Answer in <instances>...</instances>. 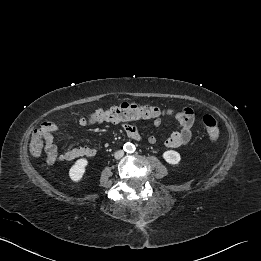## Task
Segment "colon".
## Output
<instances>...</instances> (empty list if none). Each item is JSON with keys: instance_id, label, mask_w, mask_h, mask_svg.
I'll return each mask as SVG.
<instances>
[{"instance_id": "colon-1", "label": "colon", "mask_w": 261, "mask_h": 261, "mask_svg": "<svg viewBox=\"0 0 261 261\" xmlns=\"http://www.w3.org/2000/svg\"><path fill=\"white\" fill-rule=\"evenodd\" d=\"M172 113V110L161 109L151 104L134 105L125 103L109 109L96 110L91 117L100 121L118 122L153 119ZM202 121L209 140L216 142L220 137L218 121L211 115H204ZM47 132V129L43 125L34 131L29 143V149L33 156L37 157L43 153Z\"/></svg>"}]
</instances>
